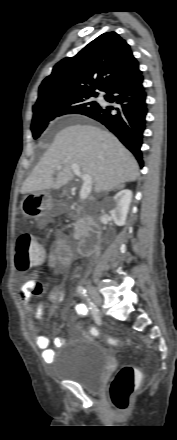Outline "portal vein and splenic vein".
<instances>
[{
    "label": "portal vein and splenic vein",
    "instance_id": "18ae733b",
    "mask_svg": "<svg viewBox=\"0 0 177 440\" xmlns=\"http://www.w3.org/2000/svg\"><path fill=\"white\" fill-rule=\"evenodd\" d=\"M56 168L60 170L62 169V166L58 165ZM71 168L74 174L83 180V184L80 190V199L85 200L92 190V178L90 175H82L80 172V167L77 164H72Z\"/></svg>",
    "mask_w": 177,
    "mask_h": 440
}]
</instances>
